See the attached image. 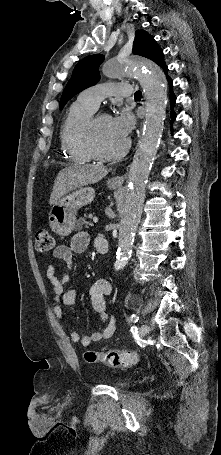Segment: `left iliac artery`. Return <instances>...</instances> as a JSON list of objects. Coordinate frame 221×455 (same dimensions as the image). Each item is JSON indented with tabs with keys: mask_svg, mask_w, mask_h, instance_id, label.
Wrapping results in <instances>:
<instances>
[{
	"mask_svg": "<svg viewBox=\"0 0 221 455\" xmlns=\"http://www.w3.org/2000/svg\"><path fill=\"white\" fill-rule=\"evenodd\" d=\"M138 319H139V317H138L137 315H135V314H133V315L130 317V321H131V322H137Z\"/></svg>",
	"mask_w": 221,
	"mask_h": 455,
	"instance_id": "obj_1",
	"label": "left iliac artery"
}]
</instances>
